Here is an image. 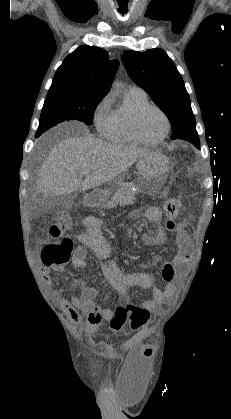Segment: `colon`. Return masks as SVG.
Returning <instances> with one entry per match:
<instances>
[{
    "label": "colon",
    "mask_w": 231,
    "mask_h": 419,
    "mask_svg": "<svg viewBox=\"0 0 231 419\" xmlns=\"http://www.w3.org/2000/svg\"><path fill=\"white\" fill-rule=\"evenodd\" d=\"M164 213L167 219L166 225L169 230L176 229V219L181 210V202L175 197H168L164 202ZM72 221L68 215H61L49 227V235L56 241L45 245L41 252L42 261L46 266L62 265L69 261L74 244L70 238H61L63 234L72 228ZM61 238V239H60ZM160 279L170 282L175 279L174 264L167 259L161 264ZM101 307L96 306L94 313L100 315ZM98 319V318H97ZM148 319V313L139 306L127 304L118 305L109 318V327L115 332H120L127 321L132 329L141 328Z\"/></svg>",
    "instance_id": "5ec220e1"
}]
</instances>
